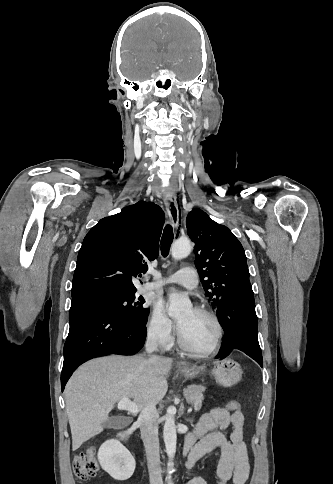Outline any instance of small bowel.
I'll use <instances>...</instances> for the list:
<instances>
[{"label":"small bowel","instance_id":"c3829d8e","mask_svg":"<svg viewBox=\"0 0 333 484\" xmlns=\"http://www.w3.org/2000/svg\"><path fill=\"white\" fill-rule=\"evenodd\" d=\"M244 415L241 411H230L224 407L214 408L205 413L194 430L187 436L191 444L188 467L204 455L220 448L221 456L217 466L218 484H244L248 479L250 464L244 437ZM230 429L229 434L226 430ZM187 484H207L196 477Z\"/></svg>","mask_w":333,"mask_h":484}]
</instances>
